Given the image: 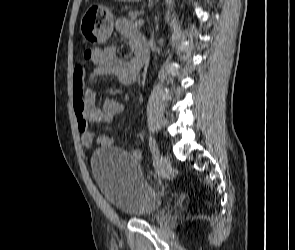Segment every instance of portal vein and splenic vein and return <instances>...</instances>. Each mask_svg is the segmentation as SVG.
<instances>
[{
  "label": "portal vein and splenic vein",
  "mask_w": 295,
  "mask_h": 250,
  "mask_svg": "<svg viewBox=\"0 0 295 250\" xmlns=\"http://www.w3.org/2000/svg\"><path fill=\"white\" fill-rule=\"evenodd\" d=\"M137 24H138L139 26H143V25L145 24V21H144L143 19H141V20H139V21L137 22Z\"/></svg>",
  "instance_id": "obj_1"
}]
</instances>
